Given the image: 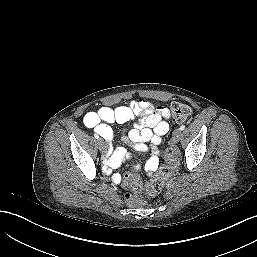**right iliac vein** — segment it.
Returning <instances> with one entry per match:
<instances>
[{
    "label": "right iliac vein",
    "instance_id": "63e3f726",
    "mask_svg": "<svg viewBox=\"0 0 257 257\" xmlns=\"http://www.w3.org/2000/svg\"><path fill=\"white\" fill-rule=\"evenodd\" d=\"M97 143H98V146H99V149H100V150H102V151L105 150L106 145H105V142H104L103 139L99 138L98 141H97Z\"/></svg>",
    "mask_w": 257,
    "mask_h": 257
}]
</instances>
